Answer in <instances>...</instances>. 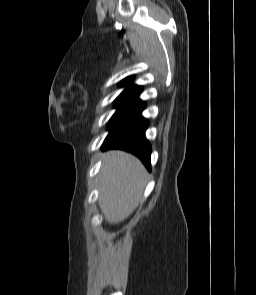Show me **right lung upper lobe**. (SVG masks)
Masks as SVG:
<instances>
[{"mask_svg": "<svg viewBox=\"0 0 256 295\" xmlns=\"http://www.w3.org/2000/svg\"><path fill=\"white\" fill-rule=\"evenodd\" d=\"M132 77H128L125 80L121 82V86H127L126 89L117 97L116 101L121 100H132L137 98V96L140 94L142 87L138 85L132 84Z\"/></svg>", "mask_w": 256, "mask_h": 295, "instance_id": "right-lung-upper-lobe-1", "label": "right lung upper lobe"}]
</instances>
